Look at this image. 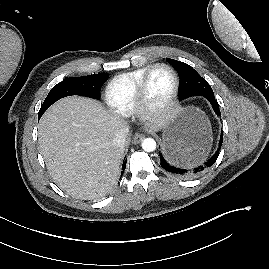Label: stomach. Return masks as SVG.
Instances as JSON below:
<instances>
[{
    "instance_id": "1",
    "label": "stomach",
    "mask_w": 269,
    "mask_h": 269,
    "mask_svg": "<svg viewBox=\"0 0 269 269\" xmlns=\"http://www.w3.org/2000/svg\"><path fill=\"white\" fill-rule=\"evenodd\" d=\"M211 128L205 114L196 107H178L168 117L162 133V148L185 165H197L210 149Z\"/></svg>"
}]
</instances>
